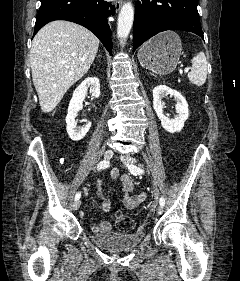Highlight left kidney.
Masks as SVG:
<instances>
[{
    "label": "left kidney",
    "mask_w": 240,
    "mask_h": 281,
    "mask_svg": "<svg viewBox=\"0 0 240 281\" xmlns=\"http://www.w3.org/2000/svg\"><path fill=\"white\" fill-rule=\"evenodd\" d=\"M173 96L176 100V113L174 118H169L164 114L165 103L163 97ZM153 108L161 121L162 127L169 133L180 132L184 127V122L189 116L188 103L186 99L177 91L166 85H158L153 89Z\"/></svg>",
    "instance_id": "obj_1"
}]
</instances>
